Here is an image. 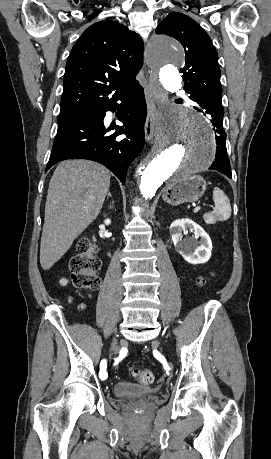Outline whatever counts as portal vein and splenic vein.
Wrapping results in <instances>:
<instances>
[{
    "instance_id": "portal-vein-and-splenic-vein-1",
    "label": "portal vein and splenic vein",
    "mask_w": 271,
    "mask_h": 459,
    "mask_svg": "<svg viewBox=\"0 0 271 459\" xmlns=\"http://www.w3.org/2000/svg\"><path fill=\"white\" fill-rule=\"evenodd\" d=\"M198 210H201L200 206H198V208H195L194 212H198Z\"/></svg>"
}]
</instances>
